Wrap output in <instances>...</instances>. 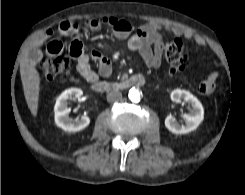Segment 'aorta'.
I'll return each instance as SVG.
<instances>
[{"label":"aorta","instance_id":"obj_1","mask_svg":"<svg viewBox=\"0 0 245 195\" xmlns=\"http://www.w3.org/2000/svg\"><path fill=\"white\" fill-rule=\"evenodd\" d=\"M128 97L132 102L137 103L140 101V92L136 88H131Z\"/></svg>","mask_w":245,"mask_h":195}]
</instances>
